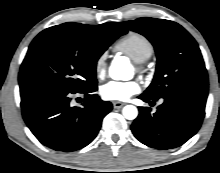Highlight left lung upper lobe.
I'll list each match as a JSON object with an SVG mask.
<instances>
[{
  "label": "left lung upper lobe",
  "mask_w": 220,
  "mask_h": 173,
  "mask_svg": "<svg viewBox=\"0 0 220 173\" xmlns=\"http://www.w3.org/2000/svg\"><path fill=\"white\" fill-rule=\"evenodd\" d=\"M121 24L144 35L154 46L157 66L144 95L163 98L176 93L208 95V77L194 38L179 24L155 18H139Z\"/></svg>",
  "instance_id": "1"
}]
</instances>
